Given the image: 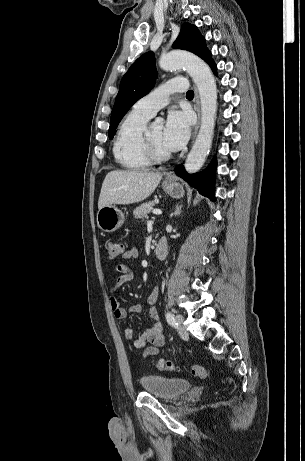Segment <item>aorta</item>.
Returning a JSON list of instances; mask_svg holds the SVG:
<instances>
[{"mask_svg":"<svg viewBox=\"0 0 305 461\" xmlns=\"http://www.w3.org/2000/svg\"><path fill=\"white\" fill-rule=\"evenodd\" d=\"M159 65L163 70L185 68L198 88L201 104V125L185 162L186 171L195 173L204 164L212 144L217 110L216 82L209 66L199 57L187 52L173 51L162 55ZM155 122L160 124L163 120L157 118Z\"/></svg>","mask_w":305,"mask_h":461,"instance_id":"1","label":"aorta"}]
</instances>
